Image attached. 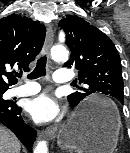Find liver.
<instances>
[{
    "label": "liver",
    "instance_id": "1",
    "mask_svg": "<svg viewBox=\"0 0 130 153\" xmlns=\"http://www.w3.org/2000/svg\"><path fill=\"white\" fill-rule=\"evenodd\" d=\"M21 144L17 137L0 125V153H20Z\"/></svg>",
    "mask_w": 130,
    "mask_h": 153
}]
</instances>
